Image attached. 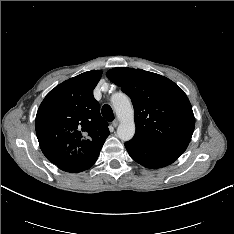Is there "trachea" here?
<instances>
[{
    "label": "trachea",
    "instance_id": "obj_1",
    "mask_svg": "<svg viewBox=\"0 0 234 234\" xmlns=\"http://www.w3.org/2000/svg\"><path fill=\"white\" fill-rule=\"evenodd\" d=\"M102 115H103V117L107 120V121H109V122H111V121H113L114 120V114H113V110H112V108L109 106V105H104L103 107H102Z\"/></svg>",
    "mask_w": 234,
    "mask_h": 234
}]
</instances>
